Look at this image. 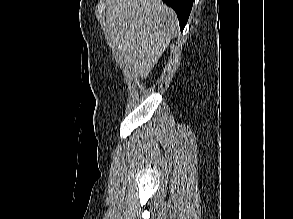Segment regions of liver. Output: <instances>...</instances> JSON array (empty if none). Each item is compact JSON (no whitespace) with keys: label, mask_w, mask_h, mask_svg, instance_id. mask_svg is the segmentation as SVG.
<instances>
[{"label":"liver","mask_w":293,"mask_h":219,"mask_svg":"<svg viewBox=\"0 0 293 219\" xmlns=\"http://www.w3.org/2000/svg\"><path fill=\"white\" fill-rule=\"evenodd\" d=\"M107 35L118 62L147 77L178 31L176 13L162 0H107Z\"/></svg>","instance_id":"1"}]
</instances>
